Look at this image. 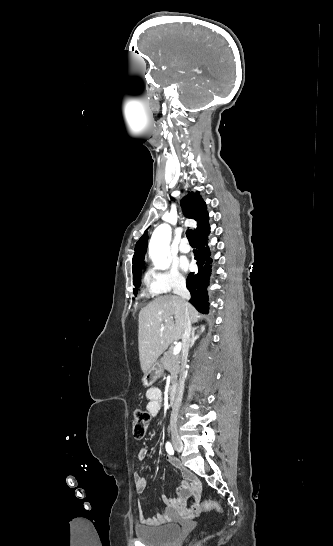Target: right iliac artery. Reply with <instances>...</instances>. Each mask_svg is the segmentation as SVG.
<instances>
[{
  "label": "right iliac artery",
  "mask_w": 333,
  "mask_h": 546,
  "mask_svg": "<svg viewBox=\"0 0 333 546\" xmlns=\"http://www.w3.org/2000/svg\"><path fill=\"white\" fill-rule=\"evenodd\" d=\"M166 451H167L170 455H173V454H174V449H173V447H172V445H171L170 442H167V443H166Z\"/></svg>",
  "instance_id": "right-iliac-artery-1"
}]
</instances>
